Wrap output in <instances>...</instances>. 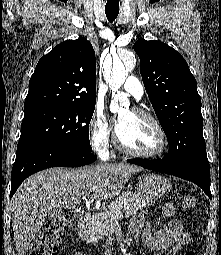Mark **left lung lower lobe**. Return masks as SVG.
<instances>
[{
	"instance_id": "1",
	"label": "left lung lower lobe",
	"mask_w": 221,
	"mask_h": 255,
	"mask_svg": "<svg viewBox=\"0 0 221 255\" xmlns=\"http://www.w3.org/2000/svg\"><path fill=\"white\" fill-rule=\"evenodd\" d=\"M127 162L191 181L201 187L211 198L210 167L206 154L193 155L178 162H170L164 158L160 160L129 159Z\"/></svg>"
}]
</instances>
